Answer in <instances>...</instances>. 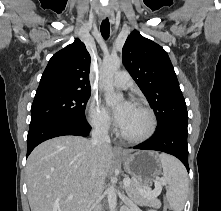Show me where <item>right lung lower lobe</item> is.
<instances>
[{
    "label": "right lung lower lobe",
    "instance_id": "98d812e1",
    "mask_svg": "<svg viewBox=\"0 0 221 211\" xmlns=\"http://www.w3.org/2000/svg\"><path fill=\"white\" fill-rule=\"evenodd\" d=\"M91 131L87 121H79L72 119H46L30 125L27 136V157L31 151L43 141L63 136L77 135L88 136Z\"/></svg>",
    "mask_w": 221,
    "mask_h": 211
}]
</instances>
